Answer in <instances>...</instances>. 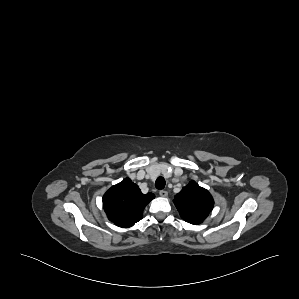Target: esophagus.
Returning <instances> with one entry per match:
<instances>
[{"instance_id": "esophagus-1", "label": "esophagus", "mask_w": 299, "mask_h": 299, "mask_svg": "<svg viewBox=\"0 0 299 299\" xmlns=\"http://www.w3.org/2000/svg\"><path fill=\"white\" fill-rule=\"evenodd\" d=\"M159 195H160L161 197H167L168 192L165 191V190H161V191H159Z\"/></svg>"}]
</instances>
